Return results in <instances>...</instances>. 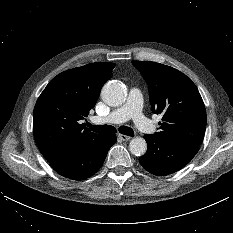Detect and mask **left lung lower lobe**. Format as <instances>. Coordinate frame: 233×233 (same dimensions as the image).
Wrapping results in <instances>:
<instances>
[{
  "label": "left lung lower lobe",
  "instance_id": "1",
  "mask_svg": "<svg viewBox=\"0 0 233 233\" xmlns=\"http://www.w3.org/2000/svg\"><path fill=\"white\" fill-rule=\"evenodd\" d=\"M147 152L139 158L150 173L164 176L183 168L198 152L199 147L186 143L167 142L155 135H145Z\"/></svg>",
  "mask_w": 233,
  "mask_h": 233
}]
</instances>
